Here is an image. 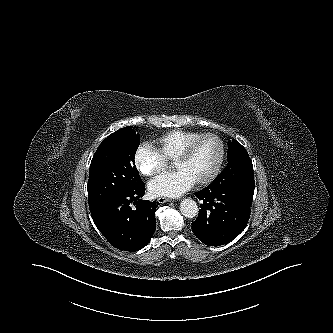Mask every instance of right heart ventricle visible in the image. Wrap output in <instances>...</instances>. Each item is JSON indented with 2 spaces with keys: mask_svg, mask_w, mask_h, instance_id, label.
Returning a JSON list of instances; mask_svg holds the SVG:
<instances>
[{
  "mask_svg": "<svg viewBox=\"0 0 333 333\" xmlns=\"http://www.w3.org/2000/svg\"><path fill=\"white\" fill-rule=\"evenodd\" d=\"M200 134V132L196 131H169L154 140L151 147L165 160H174L186 144Z\"/></svg>",
  "mask_w": 333,
  "mask_h": 333,
  "instance_id": "right-heart-ventricle-1",
  "label": "right heart ventricle"
}]
</instances>
